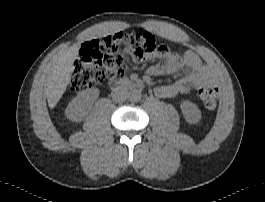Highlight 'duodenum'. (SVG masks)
Returning <instances> with one entry per match:
<instances>
[{"instance_id":"1","label":"duodenum","mask_w":265,"mask_h":202,"mask_svg":"<svg viewBox=\"0 0 265 202\" xmlns=\"http://www.w3.org/2000/svg\"><path fill=\"white\" fill-rule=\"evenodd\" d=\"M138 85V82L128 79V78H119L112 82L111 89L113 91H120L125 88H133Z\"/></svg>"}]
</instances>
